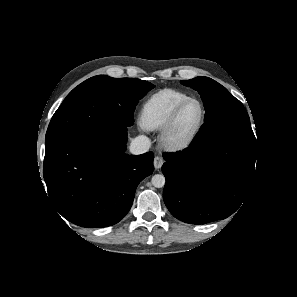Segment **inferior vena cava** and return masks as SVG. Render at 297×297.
<instances>
[{
	"label": "inferior vena cava",
	"mask_w": 297,
	"mask_h": 297,
	"mask_svg": "<svg viewBox=\"0 0 297 297\" xmlns=\"http://www.w3.org/2000/svg\"><path fill=\"white\" fill-rule=\"evenodd\" d=\"M151 146L150 139L145 135L134 138L130 144V152L135 155L146 153Z\"/></svg>",
	"instance_id": "602c4592"
}]
</instances>
